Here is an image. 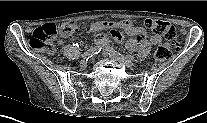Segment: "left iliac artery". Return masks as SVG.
Wrapping results in <instances>:
<instances>
[{"mask_svg": "<svg viewBox=\"0 0 207 123\" xmlns=\"http://www.w3.org/2000/svg\"><path fill=\"white\" fill-rule=\"evenodd\" d=\"M110 52L112 53V54H114V55H117V56H121V57H123V58H125V59H127V60H134V57L133 56H131V55H122V54H120L119 52H117L116 50H114V49H112V50H110Z\"/></svg>", "mask_w": 207, "mask_h": 123, "instance_id": "44dca946", "label": "left iliac artery"}]
</instances>
